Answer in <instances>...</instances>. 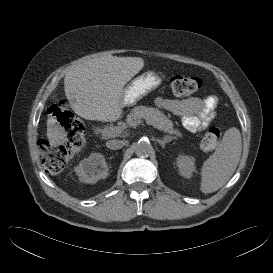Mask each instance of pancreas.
I'll return each instance as SVG.
<instances>
[{
    "mask_svg": "<svg viewBox=\"0 0 273 273\" xmlns=\"http://www.w3.org/2000/svg\"><path fill=\"white\" fill-rule=\"evenodd\" d=\"M141 119H145L148 124L159 130L175 135L173 138L182 136L179 130L174 129L173 122L156 108L142 105L136 106L131 110L130 114H128L126 121L129 126H134Z\"/></svg>",
    "mask_w": 273,
    "mask_h": 273,
    "instance_id": "cf45deb5",
    "label": "pancreas"
}]
</instances>
